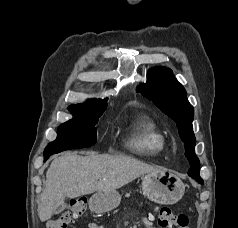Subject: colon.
<instances>
[{"mask_svg": "<svg viewBox=\"0 0 238 228\" xmlns=\"http://www.w3.org/2000/svg\"><path fill=\"white\" fill-rule=\"evenodd\" d=\"M86 206L85 198L74 199L63 212L47 223V228H67L71 222L85 213ZM154 216L160 228H187L188 226L187 215L176 213L165 206H157Z\"/></svg>", "mask_w": 238, "mask_h": 228, "instance_id": "obj_1", "label": "colon"}]
</instances>
